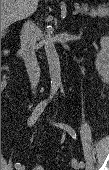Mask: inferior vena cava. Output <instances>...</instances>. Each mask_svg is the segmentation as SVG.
I'll return each instance as SVG.
<instances>
[{"mask_svg": "<svg viewBox=\"0 0 109 170\" xmlns=\"http://www.w3.org/2000/svg\"><path fill=\"white\" fill-rule=\"evenodd\" d=\"M20 38L21 53L24 58L33 94H35L40 79V69L35 54L36 40L35 24L33 22L27 21L24 23Z\"/></svg>", "mask_w": 109, "mask_h": 170, "instance_id": "1", "label": "inferior vena cava"}]
</instances>
